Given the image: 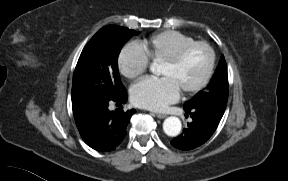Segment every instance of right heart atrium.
Instances as JSON below:
<instances>
[{"instance_id": "obj_1", "label": "right heart atrium", "mask_w": 288, "mask_h": 181, "mask_svg": "<svg viewBox=\"0 0 288 181\" xmlns=\"http://www.w3.org/2000/svg\"><path fill=\"white\" fill-rule=\"evenodd\" d=\"M117 66L125 78L135 79L147 70L148 58L137 44H127L118 54Z\"/></svg>"}]
</instances>
